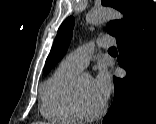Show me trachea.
I'll return each instance as SVG.
<instances>
[{"label":"trachea","instance_id":"trachea-1","mask_svg":"<svg viewBox=\"0 0 156 124\" xmlns=\"http://www.w3.org/2000/svg\"><path fill=\"white\" fill-rule=\"evenodd\" d=\"M109 51H117V49L115 47H111Z\"/></svg>","mask_w":156,"mask_h":124}]
</instances>
